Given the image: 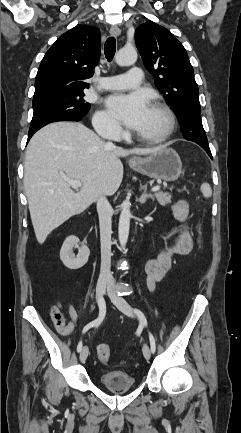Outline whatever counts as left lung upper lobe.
<instances>
[{
    "label": "left lung upper lobe",
    "instance_id": "left-lung-upper-lobe-1",
    "mask_svg": "<svg viewBox=\"0 0 241 433\" xmlns=\"http://www.w3.org/2000/svg\"><path fill=\"white\" fill-rule=\"evenodd\" d=\"M135 40L146 69L155 76L156 87L175 109L184 138L209 147L194 70L183 45L165 27L152 21L136 29Z\"/></svg>",
    "mask_w": 241,
    "mask_h": 433
}]
</instances>
